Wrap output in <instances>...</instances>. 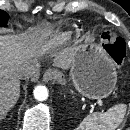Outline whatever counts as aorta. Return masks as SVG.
I'll return each mask as SVG.
<instances>
[{"instance_id":"762f6f07","label":"aorta","mask_w":130,"mask_h":130,"mask_svg":"<svg viewBox=\"0 0 130 130\" xmlns=\"http://www.w3.org/2000/svg\"><path fill=\"white\" fill-rule=\"evenodd\" d=\"M34 97L37 101H45L48 98V89L45 86H38L34 90Z\"/></svg>"}]
</instances>
